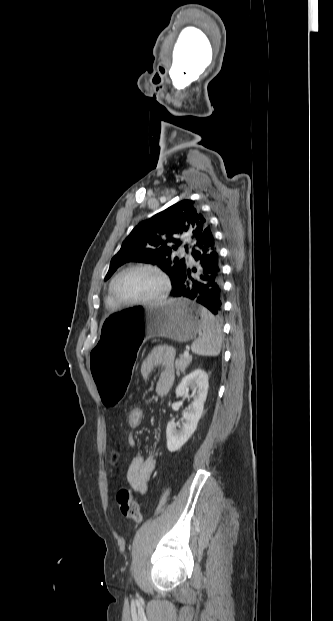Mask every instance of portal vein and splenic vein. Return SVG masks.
Returning <instances> with one entry per match:
<instances>
[{
  "label": "portal vein and splenic vein",
  "instance_id": "portal-vein-and-splenic-vein-1",
  "mask_svg": "<svg viewBox=\"0 0 333 621\" xmlns=\"http://www.w3.org/2000/svg\"><path fill=\"white\" fill-rule=\"evenodd\" d=\"M184 356H185V357H189V356H190V355H189V352H188L187 350H186V351H184Z\"/></svg>",
  "mask_w": 333,
  "mask_h": 621
}]
</instances>
